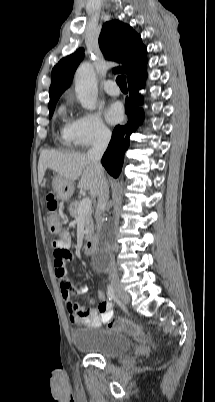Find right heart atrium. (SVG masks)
Masks as SVG:
<instances>
[{"instance_id":"right-heart-atrium-1","label":"right heart atrium","mask_w":215,"mask_h":402,"mask_svg":"<svg viewBox=\"0 0 215 402\" xmlns=\"http://www.w3.org/2000/svg\"><path fill=\"white\" fill-rule=\"evenodd\" d=\"M72 142L81 148L106 142L110 130L98 113L85 112L71 122Z\"/></svg>"}]
</instances>
